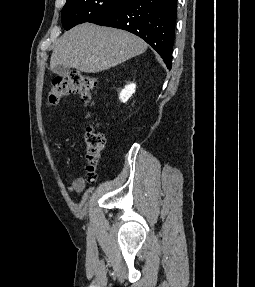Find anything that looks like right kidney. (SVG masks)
Segmentation results:
<instances>
[{
  "label": "right kidney",
  "mask_w": 255,
  "mask_h": 287,
  "mask_svg": "<svg viewBox=\"0 0 255 287\" xmlns=\"http://www.w3.org/2000/svg\"><path fill=\"white\" fill-rule=\"evenodd\" d=\"M136 88V84H127L124 90L120 92V100L121 102H128L129 98H131L132 94H134Z\"/></svg>",
  "instance_id": "1"
}]
</instances>
